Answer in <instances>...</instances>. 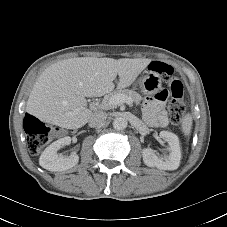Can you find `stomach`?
I'll list each match as a JSON object with an SVG mask.
<instances>
[{"mask_svg": "<svg viewBox=\"0 0 227 227\" xmlns=\"http://www.w3.org/2000/svg\"><path fill=\"white\" fill-rule=\"evenodd\" d=\"M137 86L144 94L152 95L161 88L162 80L157 72L147 71L146 75L138 80Z\"/></svg>", "mask_w": 227, "mask_h": 227, "instance_id": "0dacf381", "label": "stomach"}]
</instances>
